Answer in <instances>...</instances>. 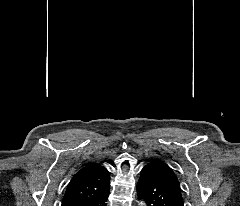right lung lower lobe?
Instances as JSON below:
<instances>
[{"label": "right lung lower lobe", "mask_w": 240, "mask_h": 206, "mask_svg": "<svg viewBox=\"0 0 240 206\" xmlns=\"http://www.w3.org/2000/svg\"><path fill=\"white\" fill-rule=\"evenodd\" d=\"M109 190L104 194L82 204V206H106V201L108 199Z\"/></svg>", "instance_id": "1"}]
</instances>
